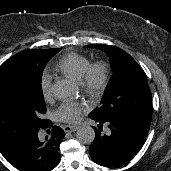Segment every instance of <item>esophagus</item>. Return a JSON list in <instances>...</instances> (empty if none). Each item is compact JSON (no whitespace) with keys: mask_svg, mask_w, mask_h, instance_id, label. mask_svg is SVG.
I'll use <instances>...</instances> for the list:
<instances>
[{"mask_svg":"<svg viewBox=\"0 0 171 171\" xmlns=\"http://www.w3.org/2000/svg\"><path fill=\"white\" fill-rule=\"evenodd\" d=\"M78 129V126L76 125H65L63 126V130L67 133L74 132Z\"/></svg>","mask_w":171,"mask_h":171,"instance_id":"esophagus-1","label":"esophagus"}]
</instances>
